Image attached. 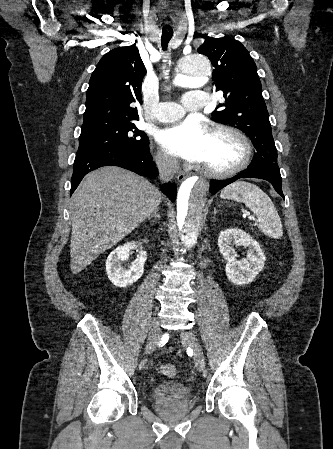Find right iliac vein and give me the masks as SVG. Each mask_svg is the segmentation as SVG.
Segmentation results:
<instances>
[{
    "mask_svg": "<svg viewBox=\"0 0 333 449\" xmlns=\"http://www.w3.org/2000/svg\"><path fill=\"white\" fill-rule=\"evenodd\" d=\"M160 337H161V332H160L158 325L152 324V326L150 327L147 345H146V353L147 354L151 353L154 346L160 340Z\"/></svg>",
    "mask_w": 333,
    "mask_h": 449,
    "instance_id": "right-iliac-vein-1",
    "label": "right iliac vein"
}]
</instances>
